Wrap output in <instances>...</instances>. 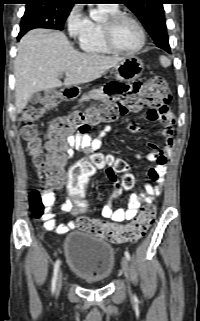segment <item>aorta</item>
<instances>
[{
	"label": "aorta",
	"mask_w": 200,
	"mask_h": 321,
	"mask_svg": "<svg viewBox=\"0 0 200 321\" xmlns=\"http://www.w3.org/2000/svg\"><path fill=\"white\" fill-rule=\"evenodd\" d=\"M89 14L93 20H98L100 18V12L97 9H93L92 7H90Z\"/></svg>",
	"instance_id": "762f6f07"
}]
</instances>
